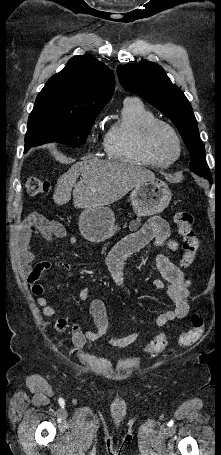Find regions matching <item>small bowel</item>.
<instances>
[{
  "mask_svg": "<svg viewBox=\"0 0 221 455\" xmlns=\"http://www.w3.org/2000/svg\"><path fill=\"white\" fill-rule=\"evenodd\" d=\"M34 233H40L47 240L66 238L68 246L78 244L79 238L69 235L60 222L38 213L30 215L24 221L19 233L18 255L20 262L27 269L30 289L37 296V303L41 307L42 313L46 316H54L57 314V308L51 304L49 298L44 296L45 288L39 282L41 274L51 270L52 264L43 261L31 265L34 260L31 236ZM148 244H152L157 249L165 246L172 252L180 253L179 243L171 236L168 224L160 217L151 218L139 231L123 238L107 255L106 266L117 285L124 287L123 272L126 259ZM154 262L161 279H155L153 284L165 293L170 305L168 310L156 318V326L161 328L171 321L187 316L189 312L187 298L190 294L191 282L184 276L181 269L164 254L156 253ZM56 266L64 268L68 274L70 273L71 265L68 262L59 261ZM90 295L89 287L83 288L80 292V297L84 300L89 299ZM89 311L94 320L95 330H83L77 322L71 323L73 341L78 348H83L87 341L103 338L108 331L109 321L104 302L97 298L91 300ZM139 336L140 332L136 331L124 337L108 339L107 342L111 346L125 348L136 342Z\"/></svg>",
  "mask_w": 221,
  "mask_h": 455,
  "instance_id": "c3829d8e",
  "label": "small bowel"
}]
</instances>
